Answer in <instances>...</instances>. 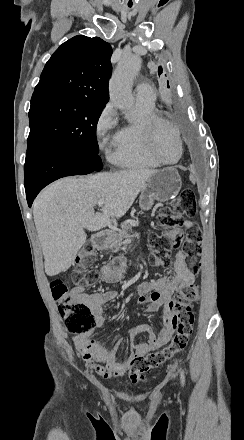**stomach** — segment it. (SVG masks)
I'll list each match as a JSON object with an SVG mask.
<instances>
[{
  "instance_id": "obj_1",
  "label": "stomach",
  "mask_w": 244,
  "mask_h": 440,
  "mask_svg": "<svg viewBox=\"0 0 244 440\" xmlns=\"http://www.w3.org/2000/svg\"><path fill=\"white\" fill-rule=\"evenodd\" d=\"M181 186L182 182L179 172L174 166L157 170L156 174H153L144 184L139 198L141 210H151L154 200H157V202L173 200L178 192H180ZM108 242L109 240L106 238L104 246H108Z\"/></svg>"
}]
</instances>
